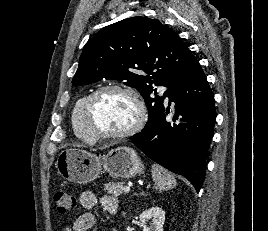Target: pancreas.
Returning <instances> with one entry per match:
<instances>
[{
  "mask_svg": "<svg viewBox=\"0 0 268 231\" xmlns=\"http://www.w3.org/2000/svg\"><path fill=\"white\" fill-rule=\"evenodd\" d=\"M104 190L113 196H119L124 193L123 182H109L104 184Z\"/></svg>",
  "mask_w": 268,
  "mask_h": 231,
  "instance_id": "obj_1",
  "label": "pancreas"
}]
</instances>
